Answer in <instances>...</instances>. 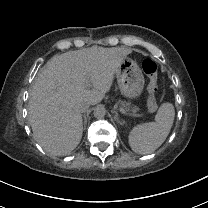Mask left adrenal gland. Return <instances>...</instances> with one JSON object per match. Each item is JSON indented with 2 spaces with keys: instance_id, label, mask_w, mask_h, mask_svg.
I'll return each instance as SVG.
<instances>
[{
  "instance_id": "left-adrenal-gland-1",
  "label": "left adrenal gland",
  "mask_w": 208,
  "mask_h": 208,
  "mask_svg": "<svg viewBox=\"0 0 208 208\" xmlns=\"http://www.w3.org/2000/svg\"><path fill=\"white\" fill-rule=\"evenodd\" d=\"M112 112L115 114L114 120H117L118 119V113L116 111H112Z\"/></svg>"
}]
</instances>
